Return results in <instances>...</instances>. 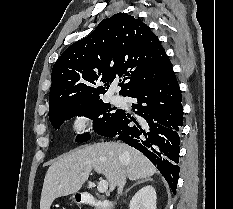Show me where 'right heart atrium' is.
Masks as SVG:
<instances>
[{
    "label": "right heart atrium",
    "mask_w": 233,
    "mask_h": 209,
    "mask_svg": "<svg viewBox=\"0 0 233 209\" xmlns=\"http://www.w3.org/2000/svg\"><path fill=\"white\" fill-rule=\"evenodd\" d=\"M90 118L85 113H78L73 119V130L77 134L84 133L90 126Z\"/></svg>",
    "instance_id": "d8ad5b80"
}]
</instances>
